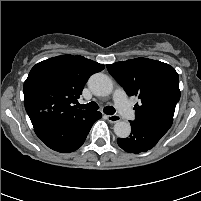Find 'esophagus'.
Segmentation results:
<instances>
[{
    "mask_svg": "<svg viewBox=\"0 0 201 201\" xmlns=\"http://www.w3.org/2000/svg\"><path fill=\"white\" fill-rule=\"evenodd\" d=\"M105 117L110 123H117L121 120L119 115H106Z\"/></svg>",
    "mask_w": 201,
    "mask_h": 201,
    "instance_id": "obj_1",
    "label": "esophagus"
}]
</instances>
